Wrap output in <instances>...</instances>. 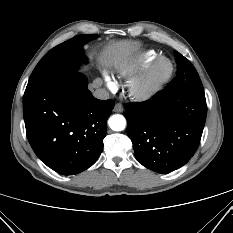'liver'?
Instances as JSON below:
<instances>
[{
    "label": "liver",
    "instance_id": "1",
    "mask_svg": "<svg viewBox=\"0 0 233 233\" xmlns=\"http://www.w3.org/2000/svg\"><path fill=\"white\" fill-rule=\"evenodd\" d=\"M139 48L138 42L119 41L109 44L101 53L100 61L117 68H126L132 60V54Z\"/></svg>",
    "mask_w": 233,
    "mask_h": 233
}]
</instances>
